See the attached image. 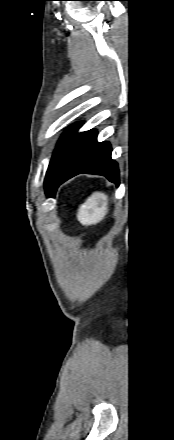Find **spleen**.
<instances>
[{"mask_svg": "<svg viewBox=\"0 0 174 440\" xmlns=\"http://www.w3.org/2000/svg\"><path fill=\"white\" fill-rule=\"evenodd\" d=\"M107 212L108 196L94 192L80 207L77 217L82 225H92L104 219Z\"/></svg>", "mask_w": 174, "mask_h": 440, "instance_id": "3e777b00", "label": "spleen"}]
</instances>
